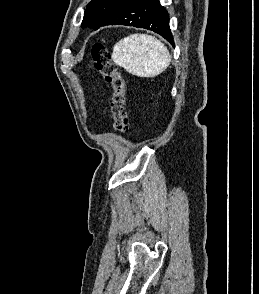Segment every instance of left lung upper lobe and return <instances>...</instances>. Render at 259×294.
<instances>
[{"instance_id":"left-lung-upper-lobe-1","label":"left lung upper lobe","mask_w":259,"mask_h":294,"mask_svg":"<svg viewBox=\"0 0 259 294\" xmlns=\"http://www.w3.org/2000/svg\"><path fill=\"white\" fill-rule=\"evenodd\" d=\"M126 0H92L86 7L82 27L97 30L113 11V9Z\"/></svg>"}]
</instances>
